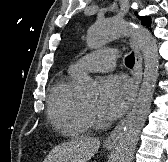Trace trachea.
<instances>
[{"label": "trachea", "instance_id": "trachea-1", "mask_svg": "<svg viewBox=\"0 0 168 162\" xmlns=\"http://www.w3.org/2000/svg\"><path fill=\"white\" fill-rule=\"evenodd\" d=\"M134 63H135V57H134V53L132 52L130 55H128L126 58H125V64L132 68L134 66Z\"/></svg>", "mask_w": 168, "mask_h": 162}]
</instances>
